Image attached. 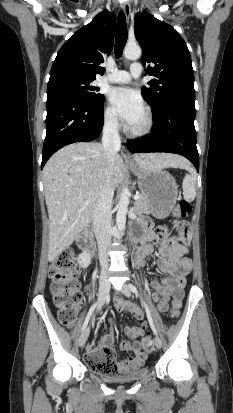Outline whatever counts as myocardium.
<instances>
[{
  "instance_id": "obj_1",
  "label": "myocardium",
  "mask_w": 233,
  "mask_h": 413,
  "mask_svg": "<svg viewBox=\"0 0 233 413\" xmlns=\"http://www.w3.org/2000/svg\"><path fill=\"white\" fill-rule=\"evenodd\" d=\"M154 126V119L152 112L149 109H145L144 111V121L140 127H130L128 129V133L130 136L134 138H140L147 136L151 133Z\"/></svg>"
}]
</instances>
